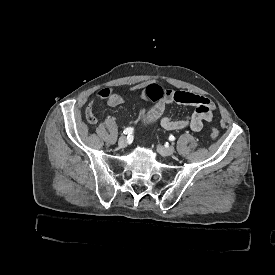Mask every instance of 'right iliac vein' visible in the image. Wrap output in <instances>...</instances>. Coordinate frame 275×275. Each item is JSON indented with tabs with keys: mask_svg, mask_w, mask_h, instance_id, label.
Returning a JSON list of instances; mask_svg holds the SVG:
<instances>
[{
	"mask_svg": "<svg viewBox=\"0 0 275 275\" xmlns=\"http://www.w3.org/2000/svg\"><path fill=\"white\" fill-rule=\"evenodd\" d=\"M127 145H128V139H127V137L126 136L120 137L119 140H118V146L120 148H126Z\"/></svg>",
	"mask_w": 275,
	"mask_h": 275,
	"instance_id": "obj_1",
	"label": "right iliac vein"
}]
</instances>
